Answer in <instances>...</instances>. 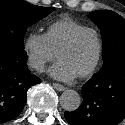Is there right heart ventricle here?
Returning <instances> with one entry per match:
<instances>
[{"label":"right heart ventricle","instance_id":"obj_1","mask_svg":"<svg viewBox=\"0 0 125 125\" xmlns=\"http://www.w3.org/2000/svg\"><path fill=\"white\" fill-rule=\"evenodd\" d=\"M87 27L86 25L70 18L64 17L51 23L45 33L50 48L56 53L59 47L76 31Z\"/></svg>","mask_w":125,"mask_h":125}]
</instances>
